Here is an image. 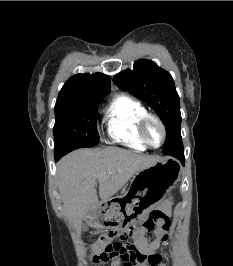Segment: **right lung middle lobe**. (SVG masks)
<instances>
[{
	"instance_id": "dd1d6c3e",
	"label": "right lung middle lobe",
	"mask_w": 233,
	"mask_h": 266,
	"mask_svg": "<svg viewBox=\"0 0 233 266\" xmlns=\"http://www.w3.org/2000/svg\"><path fill=\"white\" fill-rule=\"evenodd\" d=\"M101 98L88 97L56 102V122L53 128L55 155L63 156L74 149L98 144L96 114Z\"/></svg>"
}]
</instances>
